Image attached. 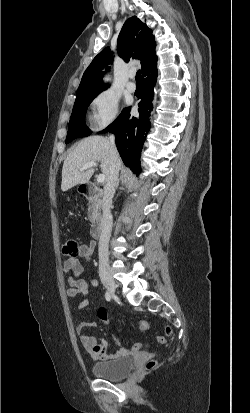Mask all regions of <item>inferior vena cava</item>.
<instances>
[{"mask_svg": "<svg viewBox=\"0 0 250 413\" xmlns=\"http://www.w3.org/2000/svg\"><path fill=\"white\" fill-rule=\"evenodd\" d=\"M111 145V171L108 180L104 186V196L102 201V220H101V234L99 238V267L109 268V252L108 244L112 231V214L110 207L112 205V198L115 193V187L118 182V174L120 170V158L115 145V136L109 137Z\"/></svg>", "mask_w": 250, "mask_h": 413, "instance_id": "602c4592", "label": "inferior vena cava"}]
</instances>
